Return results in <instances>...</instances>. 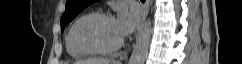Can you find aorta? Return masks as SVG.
<instances>
[{
	"label": "aorta",
	"instance_id": "aorta-1",
	"mask_svg": "<svg viewBox=\"0 0 242 64\" xmlns=\"http://www.w3.org/2000/svg\"><path fill=\"white\" fill-rule=\"evenodd\" d=\"M151 33V21L148 19L145 22L143 31L136 40V44L129 59V64H144L148 54Z\"/></svg>",
	"mask_w": 242,
	"mask_h": 64
}]
</instances>
